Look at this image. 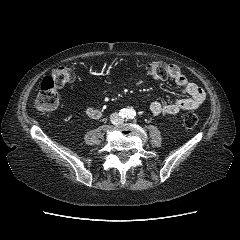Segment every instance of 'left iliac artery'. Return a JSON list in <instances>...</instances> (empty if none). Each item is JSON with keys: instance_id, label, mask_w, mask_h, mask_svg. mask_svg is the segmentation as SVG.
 I'll return each instance as SVG.
<instances>
[{"instance_id": "44dca946", "label": "left iliac artery", "mask_w": 240, "mask_h": 240, "mask_svg": "<svg viewBox=\"0 0 240 240\" xmlns=\"http://www.w3.org/2000/svg\"><path fill=\"white\" fill-rule=\"evenodd\" d=\"M134 116H135V112H133V111H131L130 113H129V118H134Z\"/></svg>"}]
</instances>
